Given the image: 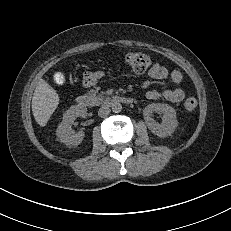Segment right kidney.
<instances>
[{
  "label": "right kidney",
  "instance_id": "obj_1",
  "mask_svg": "<svg viewBox=\"0 0 231 231\" xmlns=\"http://www.w3.org/2000/svg\"><path fill=\"white\" fill-rule=\"evenodd\" d=\"M85 118L87 116V108L80 105L70 107L63 115V121L58 126L56 132L60 142L68 146H78L84 138V132L72 131V124L77 117Z\"/></svg>",
  "mask_w": 231,
  "mask_h": 231
}]
</instances>
